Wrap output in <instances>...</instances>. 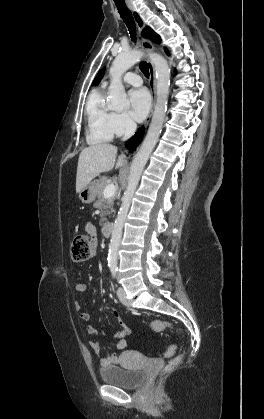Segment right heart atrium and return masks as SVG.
I'll return each mask as SVG.
<instances>
[{
  "label": "right heart atrium",
  "instance_id": "d8ad5b80",
  "mask_svg": "<svg viewBox=\"0 0 264 419\" xmlns=\"http://www.w3.org/2000/svg\"><path fill=\"white\" fill-rule=\"evenodd\" d=\"M136 125L127 112H113L111 116V128L114 135L121 136L132 132Z\"/></svg>",
  "mask_w": 264,
  "mask_h": 419
}]
</instances>
